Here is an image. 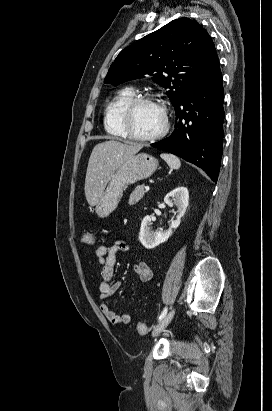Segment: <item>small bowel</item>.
Instances as JSON below:
<instances>
[{"mask_svg":"<svg viewBox=\"0 0 272 411\" xmlns=\"http://www.w3.org/2000/svg\"><path fill=\"white\" fill-rule=\"evenodd\" d=\"M129 246L118 239L109 247L99 246L95 250V258L100 266L99 300L101 301L100 310L106 319L112 324H128L131 316L128 313L117 314L109 307L106 301L121 289V283H112L114 268L117 262V255L120 252H130ZM134 275L141 282H148L152 279V270L148 263L137 262L133 267Z\"/></svg>","mask_w":272,"mask_h":411,"instance_id":"c3829d8e","label":"small bowel"}]
</instances>
